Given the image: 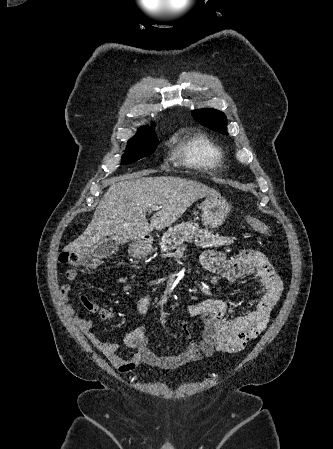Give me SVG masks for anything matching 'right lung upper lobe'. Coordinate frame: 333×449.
<instances>
[{
  "instance_id": "right-lung-upper-lobe-1",
  "label": "right lung upper lobe",
  "mask_w": 333,
  "mask_h": 449,
  "mask_svg": "<svg viewBox=\"0 0 333 449\" xmlns=\"http://www.w3.org/2000/svg\"><path fill=\"white\" fill-rule=\"evenodd\" d=\"M146 136L144 134H142L141 132H139L136 136H134L132 139H130L129 141H135V140H141L144 139Z\"/></svg>"
}]
</instances>
